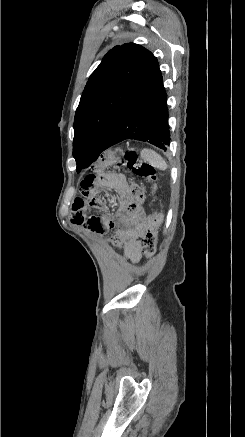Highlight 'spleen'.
<instances>
[{
	"instance_id": "1",
	"label": "spleen",
	"mask_w": 245,
	"mask_h": 437,
	"mask_svg": "<svg viewBox=\"0 0 245 437\" xmlns=\"http://www.w3.org/2000/svg\"><path fill=\"white\" fill-rule=\"evenodd\" d=\"M141 158L160 170L168 168V164L163 157L150 148H144L141 151Z\"/></svg>"
}]
</instances>
